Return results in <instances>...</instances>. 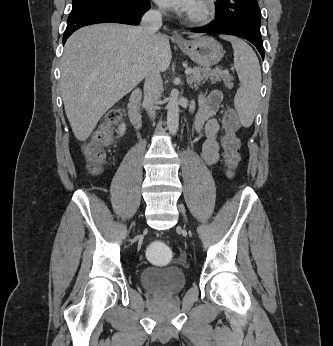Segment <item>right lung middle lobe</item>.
Wrapping results in <instances>:
<instances>
[{"label":"right lung middle lobe","instance_id":"right-lung-middle-lobe-1","mask_svg":"<svg viewBox=\"0 0 333 346\" xmlns=\"http://www.w3.org/2000/svg\"><path fill=\"white\" fill-rule=\"evenodd\" d=\"M136 0H72V12L95 5H116L121 8L131 6Z\"/></svg>","mask_w":333,"mask_h":346}]
</instances>
